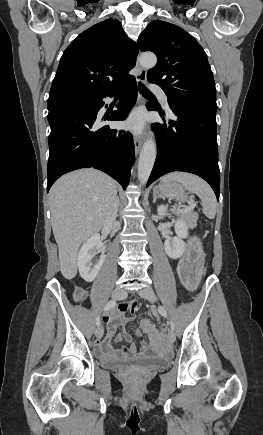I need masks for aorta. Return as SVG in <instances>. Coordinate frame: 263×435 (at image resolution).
Masks as SVG:
<instances>
[{"instance_id":"obj_1","label":"aorta","mask_w":263,"mask_h":435,"mask_svg":"<svg viewBox=\"0 0 263 435\" xmlns=\"http://www.w3.org/2000/svg\"><path fill=\"white\" fill-rule=\"evenodd\" d=\"M157 58L152 53H145L140 56V64L145 68H152L156 65ZM156 159V144L152 138H148L140 152L138 162V179L142 185L146 184Z\"/></svg>"}]
</instances>
